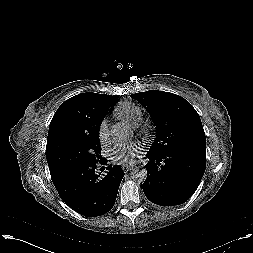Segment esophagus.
<instances>
[{"mask_svg": "<svg viewBox=\"0 0 253 253\" xmlns=\"http://www.w3.org/2000/svg\"><path fill=\"white\" fill-rule=\"evenodd\" d=\"M123 169H124L125 172H129V171L133 170V166L132 165H126V166L123 167Z\"/></svg>", "mask_w": 253, "mask_h": 253, "instance_id": "1", "label": "esophagus"}]
</instances>
